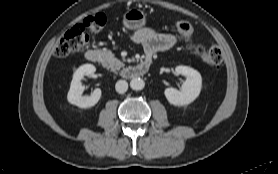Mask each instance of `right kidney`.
I'll return each instance as SVG.
<instances>
[{"label":"right kidney","mask_w":278,"mask_h":174,"mask_svg":"<svg viewBox=\"0 0 278 174\" xmlns=\"http://www.w3.org/2000/svg\"><path fill=\"white\" fill-rule=\"evenodd\" d=\"M95 71L96 68L94 65L84 64L74 72L70 90L67 95L69 103L80 108H90L98 103L102 94L99 88L95 89L90 96H82L84 87L82 86L81 80L84 76H92Z\"/></svg>","instance_id":"ca27d5eb"}]
</instances>
